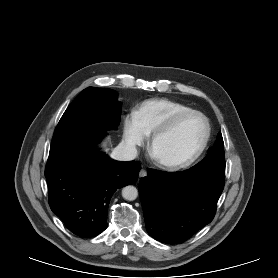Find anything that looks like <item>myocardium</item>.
<instances>
[{
	"mask_svg": "<svg viewBox=\"0 0 278 278\" xmlns=\"http://www.w3.org/2000/svg\"><path fill=\"white\" fill-rule=\"evenodd\" d=\"M191 115H198L200 116L205 123V135L203 137V140L197 150L191 154L190 156L181 159V160H174V161H169V160H163L159 158L155 154V145L156 143L166 135L170 134L177 126L178 124L186 117L191 116ZM211 137V124L208 119V117L202 113L201 111L190 109L184 112H181L177 115H175L173 118H171L167 123L156 129L151 137L150 144H149V152L155 163L167 170H179L186 168L190 165H192L195 161L199 159V157L203 154L205 149L208 146V143L210 141Z\"/></svg>",
	"mask_w": 278,
	"mask_h": 278,
	"instance_id": "f54148a6",
	"label": "myocardium"
}]
</instances>
